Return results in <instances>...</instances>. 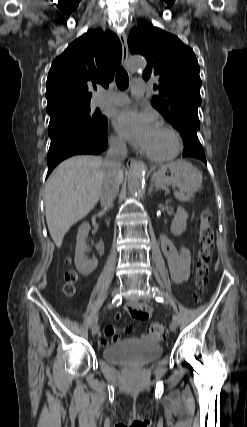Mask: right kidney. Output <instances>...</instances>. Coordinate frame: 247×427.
<instances>
[{"label": "right kidney", "instance_id": "ca27d5eb", "mask_svg": "<svg viewBox=\"0 0 247 427\" xmlns=\"http://www.w3.org/2000/svg\"><path fill=\"white\" fill-rule=\"evenodd\" d=\"M90 228V224L88 222H84L79 227L77 233L74 263L77 271L84 276L91 274L98 265V260L95 257L88 259L85 256L88 250L86 245V238L89 234Z\"/></svg>", "mask_w": 247, "mask_h": 427}]
</instances>
